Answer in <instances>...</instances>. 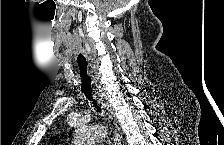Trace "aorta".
I'll use <instances>...</instances> for the list:
<instances>
[{
  "mask_svg": "<svg viewBox=\"0 0 224 145\" xmlns=\"http://www.w3.org/2000/svg\"><path fill=\"white\" fill-rule=\"evenodd\" d=\"M107 136V130L102 125L79 127L75 134L76 145H92L103 141Z\"/></svg>",
  "mask_w": 224,
  "mask_h": 145,
  "instance_id": "aorta-1",
  "label": "aorta"
}]
</instances>
